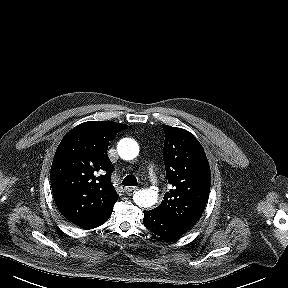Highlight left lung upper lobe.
Listing matches in <instances>:
<instances>
[{"instance_id":"left-lung-upper-lobe-1","label":"left lung upper lobe","mask_w":288,"mask_h":288,"mask_svg":"<svg viewBox=\"0 0 288 288\" xmlns=\"http://www.w3.org/2000/svg\"><path fill=\"white\" fill-rule=\"evenodd\" d=\"M163 159L173 186L153 210L179 225L191 228L201 217L210 192L211 172L205 152L188 131L163 125Z\"/></svg>"}]
</instances>
